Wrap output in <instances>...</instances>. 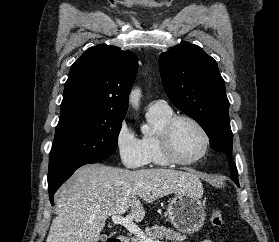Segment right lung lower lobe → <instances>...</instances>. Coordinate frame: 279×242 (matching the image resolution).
Here are the masks:
<instances>
[{
    "mask_svg": "<svg viewBox=\"0 0 279 242\" xmlns=\"http://www.w3.org/2000/svg\"><path fill=\"white\" fill-rule=\"evenodd\" d=\"M105 158L107 157H88V158L81 159L71 164L68 168L62 170L57 175L48 178V190H49V198L51 204L53 203V196L56 190L63 184L64 181H66L74 173L76 169H78L79 167L85 164L100 162Z\"/></svg>",
    "mask_w": 279,
    "mask_h": 242,
    "instance_id": "98d812e1",
    "label": "right lung lower lobe"
}]
</instances>
